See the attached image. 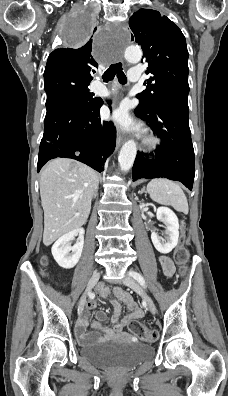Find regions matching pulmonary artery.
<instances>
[{"label": "pulmonary artery", "instance_id": "obj_1", "mask_svg": "<svg viewBox=\"0 0 228 396\" xmlns=\"http://www.w3.org/2000/svg\"><path fill=\"white\" fill-rule=\"evenodd\" d=\"M128 75H129V79L131 81L136 82L140 79V76H141L140 69L137 67L131 68L129 70ZM96 92L98 95L103 96V97L108 96L110 94V92L106 88L102 87L101 85H98L96 87Z\"/></svg>", "mask_w": 228, "mask_h": 396}]
</instances>
